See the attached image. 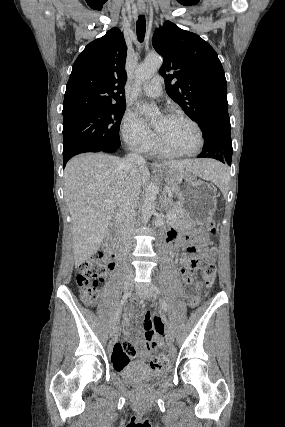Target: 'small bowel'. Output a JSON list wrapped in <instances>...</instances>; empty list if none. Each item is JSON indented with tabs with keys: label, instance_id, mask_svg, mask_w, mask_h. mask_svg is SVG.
Segmentation results:
<instances>
[{
	"label": "small bowel",
	"instance_id": "obj_1",
	"mask_svg": "<svg viewBox=\"0 0 285 427\" xmlns=\"http://www.w3.org/2000/svg\"><path fill=\"white\" fill-rule=\"evenodd\" d=\"M168 240L175 246L176 250H181L183 241L180 237V232L178 230L169 231ZM197 302L198 299H196L195 301H189V305L194 306ZM134 321V314L128 313L125 315L124 323L128 327L127 336L129 338H133L135 342L134 354H125L120 348V343H118L117 341L113 343L112 363L117 369L123 368L128 363L130 358L135 359L139 362L148 361L153 354L152 341L159 340L161 332L158 329L157 319H152L150 317L146 318L143 322V333L136 328Z\"/></svg>",
	"mask_w": 285,
	"mask_h": 427
}]
</instances>
